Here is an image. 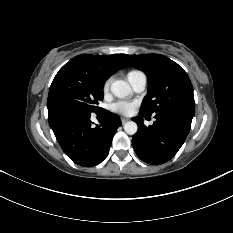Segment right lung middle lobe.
Segmentation results:
<instances>
[{
  "instance_id": "obj_1",
  "label": "right lung middle lobe",
  "mask_w": 233,
  "mask_h": 233,
  "mask_svg": "<svg viewBox=\"0 0 233 233\" xmlns=\"http://www.w3.org/2000/svg\"><path fill=\"white\" fill-rule=\"evenodd\" d=\"M103 85L84 73L58 72L49 90L47 108L72 107L97 113L101 110L97 105L103 99Z\"/></svg>"
}]
</instances>
